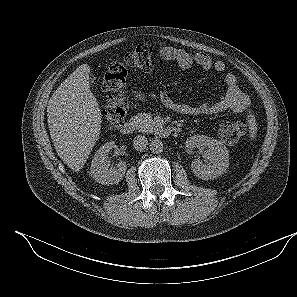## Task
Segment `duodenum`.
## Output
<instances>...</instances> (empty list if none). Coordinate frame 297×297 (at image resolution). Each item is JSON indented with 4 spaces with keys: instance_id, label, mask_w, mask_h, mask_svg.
<instances>
[{
    "instance_id": "1",
    "label": "duodenum",
    "mask_w": 297,
    "mask_h": 297,
    "mask_svg": "<svg viewBox=\"0 0 297 297\" xmlns=\"http://www.w3.org/2000/svg\"><path fill=\"white\" fill-rule=\"evenodd\" d=\"M136 127L137 124L135 121L128 120L120 126L119 131L123 135H130L136 130ZM178 131L179 129L176 126L160 127L157 130V134L161 137H167Z\"/></svg>"
}]
</instances>
